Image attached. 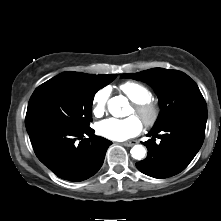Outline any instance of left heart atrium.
I'll return each mask as SVG.
<instances>
[{"label":"left heart atrium","instance_id":"39dd6f15","mask_svg":"<svg viewBox=\"0 0 221 221\" xmlns=\"http://www.w3.org/2000/svg\"><path fill=\"white\" fill-rule=\"evenodd\" d=\"M96 129L105 138L114 141H125L141 132L142 123L136 116H130L126 119L108 118L100 121Z\"/></svg>","mask_w":221,"mask_h":221}]
</instances>
